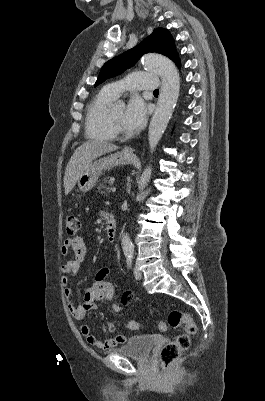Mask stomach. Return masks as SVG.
I'll list each match as a JSON object with an SVG mask.
<instances>
[{
  "instance_id": "1",
  "label": "stomach",
  "mask_w": 265,
  "mask_h": 401,
  "mask_svg": "<svg viewBox=\"0 0 265 401\" xmlns=\"http://www.w3.org/2000/svg\"><path fill=\"white\" fill-rule=\"evenodd\" d=\"M136 158L137 156H132V154L125 152L124 148V150H120V152H114V154H108V156L93 160L78 178L80 190H82V192H87V190L93 188L104 170H110L112 166H119V164H131Z\"/></svg>"
}]
</instances>
